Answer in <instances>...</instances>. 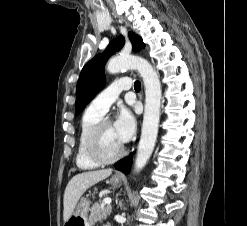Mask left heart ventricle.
Instances as JSON below:
<instances>
[{"label": "left heart ventricle", "mask_w": 247, "mask_h": 226, "mask_svg": "<svg viewBox=\"0 0 247 226\" xmlns=\"http://www.w3.org/2000/svg\"><path fill=\"white\" fill-rule=\"evenodd\" d=\"M123 144L117 138L112 124L106 125L98 139V149L104 157H112L121 149Z\"/></svg>", "instance_id": "left-heart-ventricle-1"}]
</instances>
